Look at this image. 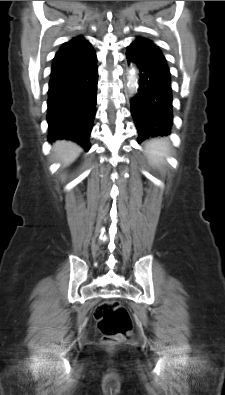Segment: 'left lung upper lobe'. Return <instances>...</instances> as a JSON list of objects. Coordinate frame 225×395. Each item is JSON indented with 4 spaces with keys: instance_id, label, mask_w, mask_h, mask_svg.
<instances>
[{
    "instance_id": "5c2ea615",
    "label": "left lung upper lobe",
    "mask_w": 225,
    "mask_h": 395,
    "mask_svg": "<svg viewBox=\"0 0 225 395\" xmlns=\"http://www.w3.org/2000/svg\"><path fill=\"white\" fill-rule=\"evenodd\" d=\"M135 58L140 61H163L166 62L162 51L151 40L137 37L134 42L127 48Z\"/></svg>"
}]
</instances>
